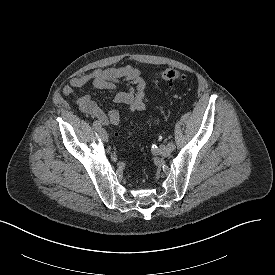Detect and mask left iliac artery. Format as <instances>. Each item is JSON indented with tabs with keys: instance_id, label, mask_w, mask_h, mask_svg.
I'll return each mask as SVG.
<instances>
[{
	"instance_id": "left-iliac-artery-1",
	"label": "left iliac artery",
	"mask_w": 275,
	"mask_h": 275,
	"mask_svg": "<svg viewBox=\"0 0 275 275\" xmlns=\"http://www.w3.org/2000/svg\"><path fill=\"white\" fill-rule=\"evenodd\" d=\"M168 146H169L172 150H174V149H175V144H174V143H172V142L168 143Z\"/></svg>"
}]
</instances>
